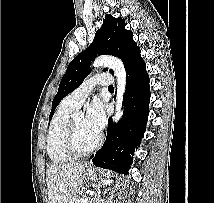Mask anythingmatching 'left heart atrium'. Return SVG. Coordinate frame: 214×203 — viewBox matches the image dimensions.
<instances>
[{
  "label": "left heart atrium",
  "mask_w": 214,
  "mask_h": 203,
  "mask_svg": "<svg viewBox=\"0 0 214 203\" xmlns=\"http://www.w3.org/2000/svg\"><path fill=\"white\" fill-rule=\"evenodd\" d=\"M105 121L106 119L103 103L96 98L92 101L88 108L86 123L93 131L99 133L103 129Z\"/></svg>",
  "instance_id": "1"
}]
</instances>
